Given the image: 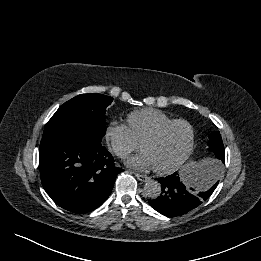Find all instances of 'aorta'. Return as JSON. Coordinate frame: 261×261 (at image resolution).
Masks as SVG:
<instances>
[{"label":"aorta","mask_w":261,"mask_h":261,"mask_svg":"<svg viewBox=\"0 0 261 261\" xmlns=\"http://www.w3.org/2000/svg\"><path fill=\"white\" fill-rule=\"evenodd\" d=\"M144 193L149 198H157L161 194V184L155 180L147 181L144 185Z\"/></svg>","instance_id":"762f6f07"}]
</instances>
